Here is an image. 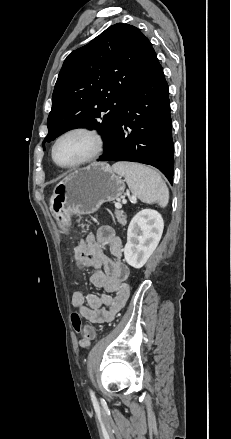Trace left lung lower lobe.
Segmentation results:
<instances>
[{
    "label": "left lung lower lobe",
    "mask_w": 231,
    "mask_h": 439,
    "mask_svg": "<svg viewBox=\"0 0 231 439\" xmlns=\"http://www.w3.org/2000/svg\"><path fill=\"white\" fill-rule=\"evenodd\" d=\"M168 84L153 50L120 109L98 161H133L159 169L172 184L173 139Z\"/></svg>",
    "instance_id": "obj_1"
}]
</instances>
